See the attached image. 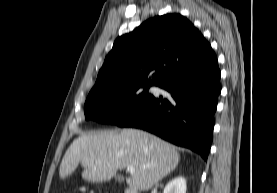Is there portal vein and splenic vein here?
Wrapping results in <instances>:
<instances>
[{"mask_svg":"<svg viewBox=\"0 0 277 193\" xmlns=\"http://www.w3.org/2000/svg\"><path fill=\"white\" fill-rule=\"evenodd\" d=\"M134 171H135V168L133 166H128L127 167V172L134 173Z\"/></svg>","mask_w":277,"mask_h":193,"instance_id":"portal-vein-and-splenic-vein-1","label":"portal vein and splenic vein"}]
</instances>
